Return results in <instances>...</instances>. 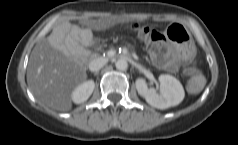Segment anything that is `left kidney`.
Listing matches in <instances>:
<instances>
[{"label": "left kidney", "mask_w": 238, "mask_h": 145, "mask_svg": "<svg viewBox=\"0 0 238 145\" xmlns=\"http://www.w3.org/2000/svg\"><path fill=\"white\" fill-rule=\"evenodd\" d=\"M159 81L161 84L160 94L154 89L148 88L145 79L138 78L135 82L138 94L148 104L158 109H166L180 104L185 96L180 81L168 74H161Z\"/></svg>", "instance_id": "1"}]
</instances>
